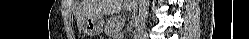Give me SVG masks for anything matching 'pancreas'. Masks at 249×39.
<instances>
[{
    "label": "pancreas",
    "mask_w": 249,
    "mask_h": 39,
    "mask_svg": "<svg viewBox=\"0 0 249 39\" xmlns=\"http://www.w3.org/2000/svg\"><path fill=\"white\" fill-rule=\"evenodd\" d=\"M123 26V20L117 17H111L107 20L104 32L109 36H118Z\"/></svg>",
    "instance_id": "obj_1"
}]
</instances>
